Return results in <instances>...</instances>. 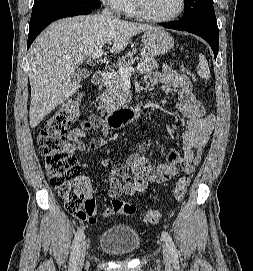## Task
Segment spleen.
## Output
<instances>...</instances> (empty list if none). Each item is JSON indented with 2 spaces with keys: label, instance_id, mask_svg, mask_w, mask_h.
Masks as SVG:
<instances>
[{
  "label": "spleen",
  "instance_id": "obj_1",
  "mask_svg": "<svg viewBox=\"0 0 253 271\" xmlns=\"http://www.w3.org/2000/svg\"><path fill=\"white\" fill-rule=\"evenodd\" d=\"M197 73L203 79L208 80L211 77L208 62H207L205 56L202 54L199 55V64H198V68H197Z\"/></svg>",
  "mask_w": 253,
  "mask_h": 271
}]
</instances>
